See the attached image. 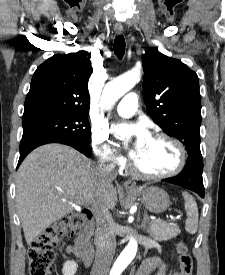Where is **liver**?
Listing matches in <instances>:
<instances>
[{
  "label": "liver",
  "instance_id": "1",
  "mask_svg": "<svg viewBox=\"0 0 225 275\" xmlns=\"http://www.w3.org/2000/svg\"><path fill=\"white\" fill-rule=\"evenodd\" d=\"M117 192L99 168L77 150L46 144L22 162L16 178V204L25 240H33L74 206L95 204L112 209Z\"/></svg>",
  "mask_w": 225,
  "mask_h": 275
}]
</instances>
